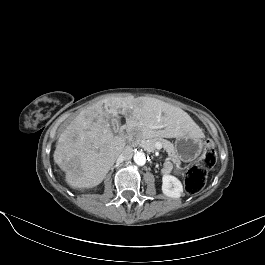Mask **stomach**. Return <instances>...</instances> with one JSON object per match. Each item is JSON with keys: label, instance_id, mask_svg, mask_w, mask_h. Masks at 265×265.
I'll return each instance as SVG.
<instances>
[{"label": "stomach", "instance_id": "0dacf381", "mask_svg": "<svg viewBox=\"0 0 265 265\" xmlns=\"http://www.w3.org/2000/svg\"><path fill=\"white\" fill-rule=\"evenodd\" d=\"M203 150L202 140L189 134L176 137L175 152L177 157L184 161L190 162L195 160Z\"/></svg>", "mask_w": 265, "mask_h": 265}]
</instances>
